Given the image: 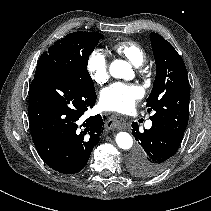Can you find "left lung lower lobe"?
<instances>
[{
	"label": "left lung lower lobe",
	"mask_w": 211,
	"mask_h": 211,
	"mask_svg": "<svg viewBox=\"0 0 211 211\" xmlns=\"http://www.w3.org/2000/svg\"><path fill=\"white\" fill-rule=\"evenodd\" d=\"M132 134L140 147L129 158L133 175L149 178L163 172L171 163L183 136L159 123H153L149 130L140 132L138 124L132 123Z\"/></svg>",
	"instance_id": "obj_1"
}]
</instances>
